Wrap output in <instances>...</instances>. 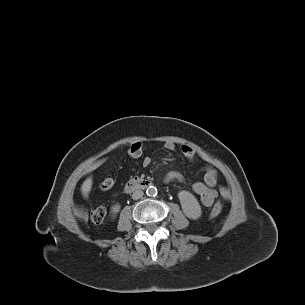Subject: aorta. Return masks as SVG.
I'll return each instance as SVG.
<instances>
[{"mask_svg": "<svg viewBox=\"0 0 305 305\" xmlns=\"http://www.w3.org/2000/svg\"><path fill=\"white\" fill-rule=\"evenodd\" d=\"M146 194L148 196H156L157 195V188L154 186H149L146 190Z\"/></svg>", "mask_w": 305, "mask_h": 305, "instance_id": "aorta-1", "label": "aorta"}]
</instances>
